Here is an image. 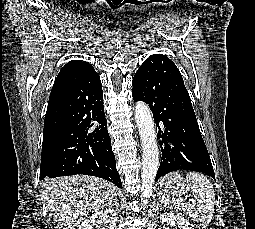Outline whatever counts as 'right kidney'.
<instances>
[{"label": "right kidney", "mask_w": 255, "mask_h": 229, "mask_svg": "<svg viewBox=\"0 0 255 229\" xmlns=\"http://www.w3.org/2000/svg\"><path fill=\"white\" fill-rule=\"evenodd\" d=\"M117 220L116 211L110 208L103 209L86 218L79 226V229H98L99 224L102 222L106 224L102 229H115Z\"/></svg>", "instance_id": "1"}]
</instances>
